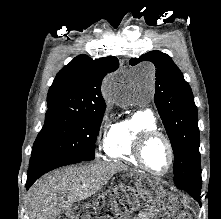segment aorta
I'll use <instances>...</instances> for the list:
<instances>
[{"label": "aorta", "instance_id": "aorta-1", "mask_svg": "<svg viewBox=\"0 0 221 219\" xmlns=\"http://www.w3.org/2000/svg\"><path fill=\"white\" fill-rule=\"evenodd\" d=\"M137 77L140 80H143L144 82H146L149 86H151L153 84V80H154V70L150 67H141L137 70ZM105 92L107 95L109 96H118L120 95V90L118 88H113L112 84L111 85H107L105 87Z\"/></svg>", "mask_w": 221, "mask_h": 219}]
</instances>
